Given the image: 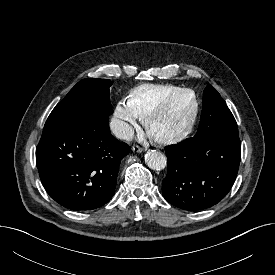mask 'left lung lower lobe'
Masks as SVG:
<instances>
[{"mask_svg":"<svg viewBox=\"0 0 275 275\" xmlns=\"http://www.w3.org/2000/svg\"><path fill=\"white\" fill-rule=\"evenodd\" d=\"M168 173L162 194L188 211L216 205L230 191L240 164L239 137L196 136L168 146Z\"/></svg>","mask_w":275,"mask_h":275,"instance_id":"left-lung-lower-lobe-1","label":"left lung lower lobe"}]
</instances>
